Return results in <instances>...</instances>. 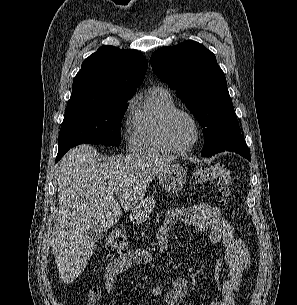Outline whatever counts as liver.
<instances>
[{
  "label": "liver",
  "mask_w": 297,
  "mask_h": 305,
  "mask_svg": "<svg viewBox=\"0 0 297 305\" xmlns=\"http://www.w3.org/2000/svg\"><path fill=\"white\" fill-rule=\"evenodd\" d=\"M174 159L134 153L100 162L97 151L87 144L63 156L56 170L59 213L51 241L62 283L73 282L93 254L89 227L98 224L103 231L110 229L121 218L122 209L137 206L154 177Z\"/></svg>",
  "instance_id": "obj_1"
}]
</instances>
